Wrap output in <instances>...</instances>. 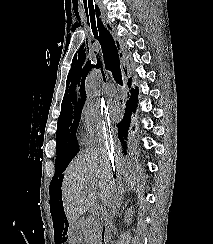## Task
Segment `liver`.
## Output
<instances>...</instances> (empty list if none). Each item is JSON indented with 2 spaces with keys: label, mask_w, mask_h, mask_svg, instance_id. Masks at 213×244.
<instances>
[{
  "label": "liver",
  "mask_w": 213,
  "mask_h": 244,
  "mask_svg": "<svg viewBox=\"0 0 213 244\" xmlns=\"http://www.w3.org/2000/svg\"><path fill=\"white\" fill-rule=\"evenodd\" d=\"M122 156L120 153L113 161L104 147L81 153L69 164L64 172L62 183V202L64 212L70 224H76L77 219L90 209L97 199L92 190L98 181L99 197L104 202L115 189L112 167L122 172Z\"/></svg>",
  "instance_id": "liver-1"
}]
</instances>
